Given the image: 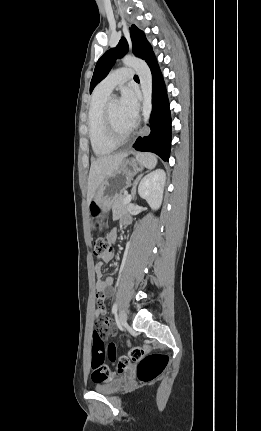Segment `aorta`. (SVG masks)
<instances>
[{
    "label": "aorta",
    "mask_w": 261,
    "mask_h": 431,
    "mask_svg": "<svg viewBox=\"0 0 261 431\" xmlns=\"http://www.w3.org/2000/svg\"><path fill=\"white\" fill-rule=\"evenodd\" d=\"M126 66L132 67L139 79L143 94V118L145 124L149 122L152 111V76L147 63L133 56H126L122 59Z\"/></svg>",
    "instance_id": "762f6f07"
}]
</instances>
